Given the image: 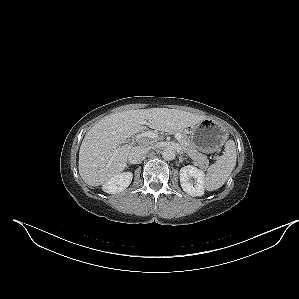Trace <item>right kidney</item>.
Wrapping results in <instances>:
<instances>
[{
    "instance_id": "1",
    "label": "right kidney",
    "mask_w": 299,
    "mask_h": 299,
    "mask_svg": "<svg viewBox=\"0 0 299 299\" xmlns=\"http://www.w3.org/2000/svg\"><path fill=\"white\" fill-rule=\"evenodd\" d=\"M133 174L123 172L108 179L102 186V190L109 194H116L124 191L131 183Z\"/></svg>"
}]
</instances>
